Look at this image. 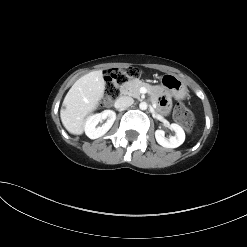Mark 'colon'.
Segmentation results:
<instances>
[{"label":"colon","mask_w":247,"mask_h":247,"mask_svg":"<svg viewBox=\"0 0 247 247\" xmlns=\"http://www.w3.org/2000/svg\"><path fill=\"white\" fill-rule=\"evenodd\" d=\"M139 70L134 67L116 68L110 71L106 77L104 100L114 101L120 93V86L130 79L136 78ZM175 119L187 130H191L194 124V117L191 111L182 103H178L174 111Z\"/></svg>","instance_id":"obj_1"}]
</instances>
